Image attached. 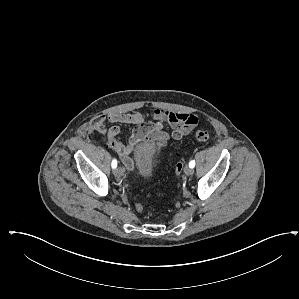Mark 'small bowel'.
<instances>
[{
    "label": "small bowel",
    "instance_id": "small-bowel-1",
    "mask_svg": "<svg viewBox=\"0 0 299 299\" xmlns=\"http://www.w3.org/2000/svg\"><path fill=\"white\" fill-rule=\"evenodd\" d=\"M105 118L115 124H130L136 126L127 142L119 140L120 128L114 125L108 133L109 146L119 155L123 165L129 171H135V163L130 154L145 144H152V156L155 157L170 140H181L189 135L199 123L196 113L169 112L155 109L154 122L145 124L140 112L109 113ZM168 128L169 131L163 130Z\"/></svg>",
    "mask_w": 299,
    "mask_h": 299
}]
</instances>
